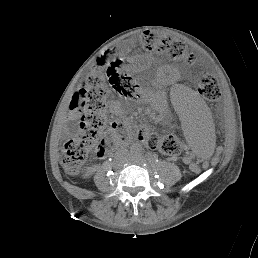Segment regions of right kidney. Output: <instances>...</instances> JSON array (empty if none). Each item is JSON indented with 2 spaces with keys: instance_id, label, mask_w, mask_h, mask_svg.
I'll return each instance as SVG.
<instances>
[{
  "instance_id": "ca27d5eb",
  "label": "right kidney",
  "mask_w": 258,
  "mask_h": 258,
  "mask_svg": "<svg viewBox=\"0 0 258 258\" xmlns=\"http://www.w3.org/2000/svg\"><path fill=\"white\" fill-rule=\"evenodd\" d=\"M89 171H87L85 174H84V178H87L89 176Z\"/></svg>"
}]
</instances>
